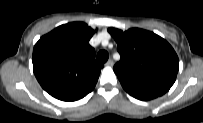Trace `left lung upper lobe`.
I'll use <instances>...</instances> for the list:
<instances>
[{
	"label": "left lung upper lobe",
	"mask_w": 203,
	"mask_h": 123,
	"mask_svg": "<svg viewBox=\"0 0 203 123\" xmlns=\"http://www.w3.org/2000/svg\"><path fill=\"white\" fill-rule=\"evenodd\" d=\"M121 59L114 66L123 87L154 96L166 93L176 80L179 59L172 46L157 34L132 28H109Z\"/></svg>",
	"instance_id": "1"
}]
</instances>
